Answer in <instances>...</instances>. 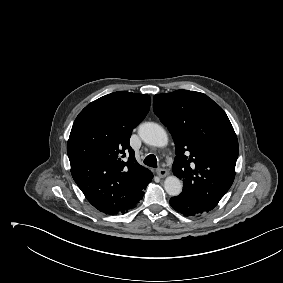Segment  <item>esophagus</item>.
Returning a JSON list of instances; mask_svg holds the SVG:
<instances>
[{"instance_id": "34e87169", "label": "esophagus", "mask_w": 283, "mask_h": 283, "mask_svg": "<svg viewBox=\"0 0 283 283\" xmlns=\"http://www.w3.org/2000/svg\"><path fill=\"white\" fill-rule=\"evenodd\" d=\"M157 174L160 177H165V176H167L168 171L166 169H164V168H159V169H157Z\"/></svg>"}]
</instances>
